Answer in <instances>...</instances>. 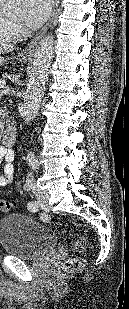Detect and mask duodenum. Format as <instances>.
I'll return each instance as SVG.
<instances>
[{
  "mask_svg": "<svg viewBox=\"0 0 129 309\" xmlns=\"http://www.w3.org/2000/svg\"><path fill=\"white\" fill-rule=\"evenodd\" d=\"M16 128L12 125L8 126L2 135L3 142L6 147H11L16 140Z\"/></svg>",
  "mask_w": 129,
  "mask_h": 309,
  "instance_id": "1",
  "label": "duodenum"
}]
</instances>
